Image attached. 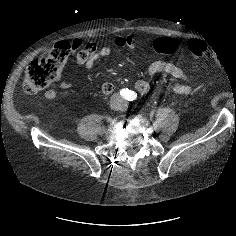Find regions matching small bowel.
Returning <instances> with one entry per match:
<instances>
[{
	"mask_svg": "<svg viewBox=\"0 0 236 236\" xmlns=\"http://www.w3.org/2000/svg\"><path fill=\"white\" fill-rule=\"evenodd\" d=\"M199 40V39H197ZM178 44H184V41H176ZM137 43L135 35L119 36L115 38L114 45L116 48H134ZM188 44V43H187ZM73 49L77 50L76 62L79 65L84 66L89 72L93 73L96 62L104 57H108L112 54V48L101 47L93 42L84 43L81 39H74L71 42ZM158 74H167L182 82L175 83L172 86V91L179 95H187L191 92L192 78L189 73L182 68L165 61H155L151 63L147 68V75L150 78L155 77ZM75 84L63 81L60 84L62 89H71ZM136 90L141 94H146L151 89V83L146 80H137L135 82ZM101 90L104 94H111L114 90V85L111 82H104ZM45 96L49 100H54L58 97V92L55 89H49Z\"/></svg>",
	"mask_w": 236,
	"mask_h": 236,
	"instance_id": "small-bowel-1",
	"label": "small bowel"
}]
</instances>
